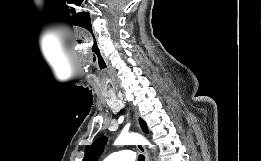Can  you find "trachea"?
<instances>
[{
  "mask_svg": "<svg viewBox=\"0 0 261 161\" xmlns=\"http://www.w3.org/2000/svg\"><path fill=\"white\" fill-rule=\"evenodd\" d=\"M138 161H145V156L143 154H140L138 156Z\"/></svg>",
  "mask_w": 261,
  "mask_h": 161,
  "instance_id": "obj_1",
  "label": "trachea"
}]
</instances>
